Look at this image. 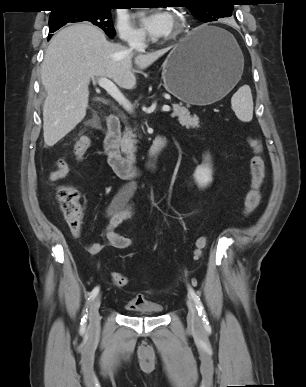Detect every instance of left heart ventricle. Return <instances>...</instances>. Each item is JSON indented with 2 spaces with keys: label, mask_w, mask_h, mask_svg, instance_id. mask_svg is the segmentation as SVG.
I'll use <instances>...</instances> for the list:
<instances>
[{
  "label": "left heart ventricle",
  "mask_w": 306,
  "mask_h": 387,
  "mask_svg": "<svg viewBox=\"0 0 306 387\" xmlns=\"http://www.w3.org/2000/svg\"><path fill=\"white\" fill-rule=\"evenodd\" d=\"M174 28H175V20L173 18V30H174Z\"/></svg>",
  "instance_id": "left-heart-ventricle-1"
}]
</instances>
